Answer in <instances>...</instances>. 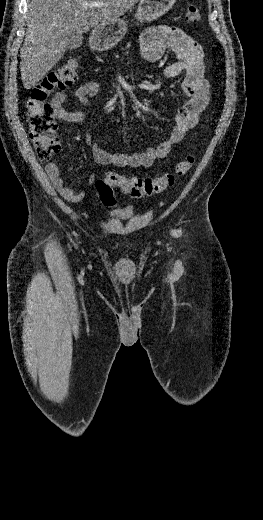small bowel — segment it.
I'll return each instance as SVG.
<instances>
[{
  "label": "small bowel",
  "instance_id": "1",
  "mask_svg": "<svg viewBox=\"0 0 263 520\" xmlns=\"http://www.w3.org/2000/svg\"><path fill=\"white\" fill-rule=\"evenodd\" d=\"M167 50L173 51L178 61L165 67L164 76L172 79L185 73L181 88L186 101L174 116V127L166 140L156 146H148L145 151L133 154L105 151L99 143L91 146L95 161L102 165L116 167L149 168L157 159L167 157L172 147L183 140L186 132L199 121L200 114L208 105L210 99V84L204 76L203 52L201 46L178 27L159 25L146 29L140 38L139 54L145 61L156 62L162 59ZM100 85L89 81L77 87L73 96L79 103L85 104L89 97L100 93ZM67 94L59 92L51 100L54 116L62 121L81 124L84 115L80 111L66 108ZM45 170L54 187L60 195L69 202L78 203L85 197L83 191H75L67 186L62 178L60 168L54 162H48ZM95 177L91 178V182Z\"/></svg>",
  "mask_w": 263,
  "mask_h": 520
}]
</instances>
